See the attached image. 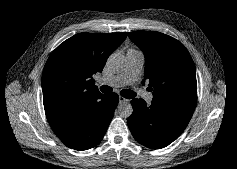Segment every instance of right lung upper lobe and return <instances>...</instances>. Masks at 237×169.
Masks as SVG:
<instances>
[{"label":"right lung upper lobe","instance_id":"obj_1","mask_svg":"<svg viewBox=\"0 0 237 169\" xmlns=\"http://www.w3.org/2000/svg\"><path fill=\"white\" fill-rule=\"evenodd\" d=\"M126 37V32L80 33L53 51L42 75L43 102L48 120L98 91L92 75L102 71L109 55Z\"/></svg>","mask_w":237,"mask_h":169}]
</instances>
